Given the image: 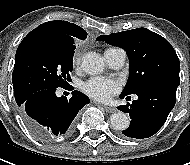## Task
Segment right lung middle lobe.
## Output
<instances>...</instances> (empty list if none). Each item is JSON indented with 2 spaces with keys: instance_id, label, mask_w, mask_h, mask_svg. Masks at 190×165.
I'll list each match as a JSON object with an SVG mask.
<instances>
[{
  "instance_id": "obj_1",
  "label": "right lung middle lobe",
  "mask_w": 190,
  "mask_h": 165,
  "mask_svg": "<svg viewBox=\"0 0 190 165\" xmlns=\"http://www.w3.org/2000/svg\"><path fill=\"white\" fill-rule=\"evenodd\" d=\"M77 40L61 34L32 30L19 45L13 71L17 104L37 91L68 85Z\"/></svg>"
}]
</instances>
